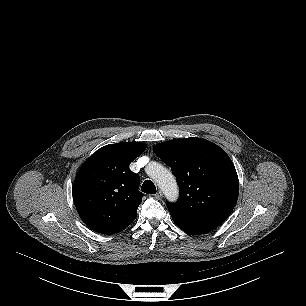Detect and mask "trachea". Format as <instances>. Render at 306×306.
<instances>
[{
    "label": "trachea",
    "instance_id": "obj_1",
    "mask_svg": "<svg viewBox=\"0 0 306 306\" xmlns=\"http://www.w3.org/2000/svg\"><path fill=\"white\" fill-rule=\"evenodd\" d=\"M141 189L144 193L156 194V187H155L154 183L150 180L144 181Z\"/></svg>",
    "mask_w": 306,
    "mask_h": 306
}]
</instances>
